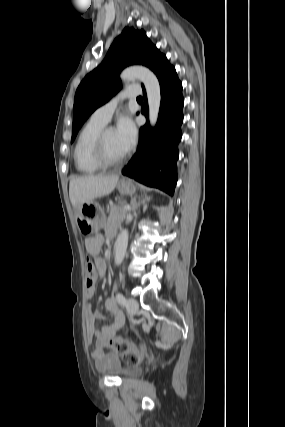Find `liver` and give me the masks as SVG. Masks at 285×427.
<instances>
[{
  "label": "liver",
  "mask_w": 285,
  "mask_h": 427,
  "mask_svg": "<svg viewBox=\"0 0 285 427\" xmlns=\"http://www.w3.org/2000/svg\"><path fill=\"white\" fill-rule=\"evenodd\" d=\"M118 175H88L71 179L69 197L75 209L83 204H89L94 199L110 194L117 185Z\"/></svg>",
  "instance_id": "liver-1"
}]
</instances>
